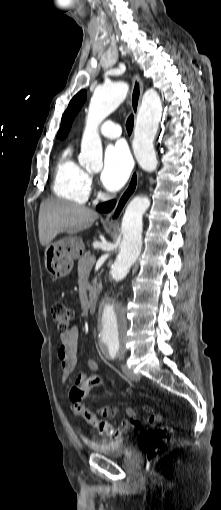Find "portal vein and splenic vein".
Returning a JSON list of instances; mask_svg holds the SVG:
<instances>
[{
  "instance_id": "18ae733b",
  "label": "portal vein and splenic vein",
  "mask_w": 221,
  "mask_h": 510,
  "mask_svg": "<svg viewBox=\"0 0 221 510\" xmlns=\"http://www.w3.org/2000/svg\"><path fill=\"white\" fill-rule=\"evenodd\" d=\"M96 261V257L93 255L91 258H90V262L91 263H94Z\"/></svg>"
}]
</instances>
